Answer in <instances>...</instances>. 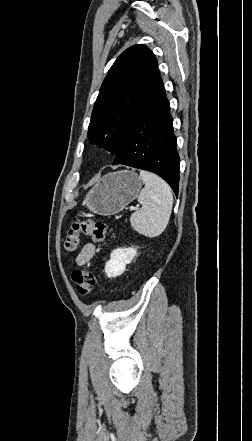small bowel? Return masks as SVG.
Masks as SVG:
<instances>
[{
  "label": "small bowel",
  "instance_id": "obj_1",
  "mask_svg": "<svg viewBox=\"0 0 252 441\" xmlns=\"http://www.w3.org/2000/svg\"><path fill=\"white\" fill-rule=\"evenodd\" d=\"M96 252V247L93 243L85 244L76 257V264L83 266L91 261Z\"/></svg>",
  "mask_w": 252,
  "mask_h": 441
}]
</instances>
